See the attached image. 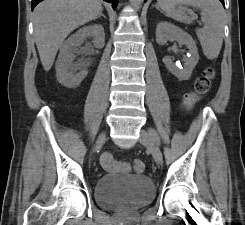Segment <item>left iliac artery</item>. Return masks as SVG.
Instances as JSON below:
<instances>
[{"label": "left iliac artery", "instance_id": "left-iliac-artery-1", "mask_svg": "<svg viewBox=\"0 0 245 225\" xmlns=\"http://www.w3.org/2000/svg\"><path fill=\"white\" fill-rule=\"evenodd\" d=\"M149 132H150V134H151V135H153V136H154V134H153V131H152V130H149ZM154 139H155L156 144H158V145H159V140H158L156 137H154Z\"/></svg>", "mask_w": 245, "mask_h": 225}]
</instances>
